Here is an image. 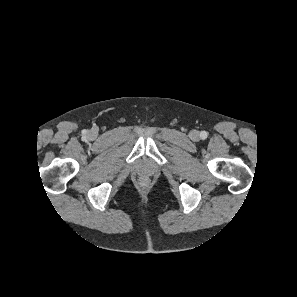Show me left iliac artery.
<instances>
[{
	"instance_id": "obj_1",
	"label": "left iliac artery",
	"mask_w": 297,
	"mask_h": 297,
	"mask_svg": "<svg viewBox=\"0 0 297 297\" xmlns=\"http://www.w3.org/2000/svg\"><path fill=\"white\" fill-rule=\"evenodd\" d=\"M207 136H208V133H207L206 131H202V132L200 133V137H201L202 139H206Z\"/></svg>"
}]
</instances>
